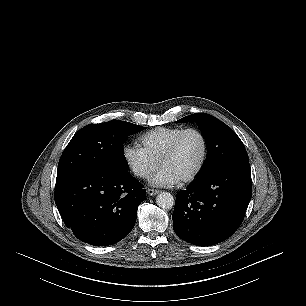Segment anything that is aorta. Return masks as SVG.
Here are the masks:
<instances>
[{
    "instance_id": "aorta-1",
    "label": "aorta",
    "mask_w": 306,
    "mask_h": 306,
    "mask_svg": "<svg viewBox=\"0 0 306 306\" xmlns=\"http://www.w3.org/2000/svg\"><path fill=\"white\" fill-rule=\"evenodd\" d=\"M157 205L162 209H171L174 206V198L168 192H161L156 198Z\"/></svg>"
}]
</instances>
